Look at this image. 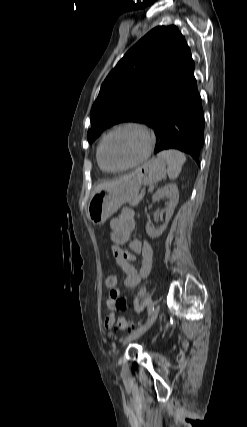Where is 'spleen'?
<instances>
[{"instance_id": "1", "label": "spleen", "mask_w": 247, "mask_h": 427, "mask_svg": "<svg viewBox=\"0 0 247 427\" xmlns=\"http://www.w3.org/2000/svg\"><path fill=\"white\" fill-rule=\"evenodd\" d=\"M157 159L167 163L168 176L171 180H174L179 176L182 166L186 161V156L178 150H164L158 153Z\"/></svg>"}]
</instances>
